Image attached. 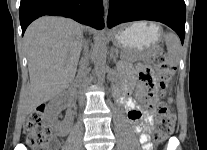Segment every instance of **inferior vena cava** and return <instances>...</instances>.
I'll use <instances>...</instances> for the list:
<instances>
[{
  "label": "inferior vena cava",
  "mask_w": 207,
  "mask_h": 150,
  "mask_svg": "<svg viewBox=\"0 0 207 150\" xmlns=\"http://www.w3.org/2000/svg\"><path fill=\"white\" fill-rule=\"evenodd\" d=\"M86 63H87V57L82 58L80 61L78 74L75 79V83L80 90L86 88L90 81L86 69Z\"/></svg>",
  "instance_id": "602c4592"
}]
</instances>
